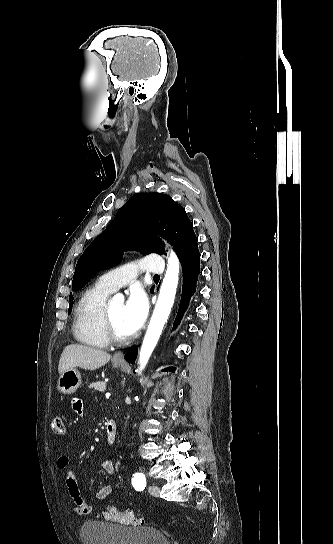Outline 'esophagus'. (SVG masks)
Instances as JSON below:
<instances>
[{"instance_id": "esophagus-1", "label": "esophagus", "mask_w": 333, "mask_h": 544, "mask_svg": "<svg viewBox=\"0 0 333 544\" xmlns=\"http://www.w3.org/2000/svg\"><path fill=\"white\" fill-rule=\"evenodd\" d=\"M113 359H114L115 361L124 362V354H123L122 352H117V353L114 355Z\"/></svg>"}]
</instances>
